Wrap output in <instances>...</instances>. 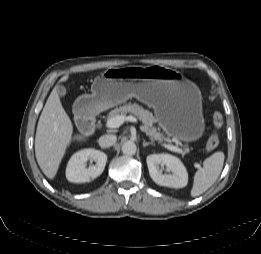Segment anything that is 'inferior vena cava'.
<instances>
[{
  "instance_id": "602c4592",
  "label": "inferior vena cava",
  "mask_w": 261,
  "mask_h": 254,
  "mask_svg": "<svg viewBox=\"0 0 261 254\" xmlns=\"http://www.w3.org/2000/svg\"><path fill=\"white\" fill-rule=\"evenodd\" d=\"M117 137L113 134H105L98 140L100 147L107 148L115 144Z\"/></svg>"
}]
</instances>
